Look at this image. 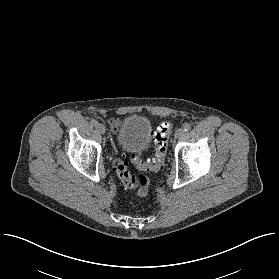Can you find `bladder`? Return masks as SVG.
Segmentation results:
<instances>
[{"label": "bladder", "mask_w": 279, "mask_h": 279, "mask_svg": "<svg viewBox=\"0 0 279 279\" xmlns=\"http://www.w3.org/2000/svg\"><path fill=\"white\" fill-rule=\"evenodd\" d=\"M151 125L140 115H130L119 121L116 141L119 146L129 150H145L151 142Z\"/></svg>", "instance_id": "bladder-1"}]
</instances>
